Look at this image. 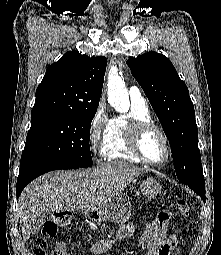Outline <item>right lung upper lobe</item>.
<instances>
[{
  "mask_svg": "<svg viewBox=\"0 0 221 255\" xmlns=\"http://www.w3.org/2000/svg\"><path fill=\"white\" fill-rule=\"evenodd\" d=\"M107 59L66 52L46 71L36 90L32 114L49 111L90 112L97 110Z\"/></svg>",
  "mask_w": 221,
  "mask_h": 255,
  "instance_id": "1",
  "label": "right lung upper lobe"
}]
</instances>
